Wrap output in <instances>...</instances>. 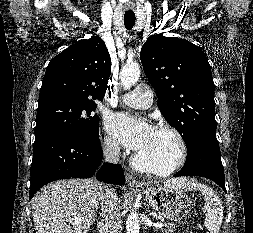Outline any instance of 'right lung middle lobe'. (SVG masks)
<instances>
[{
  "label": "right lung middle lobe",
  "mask_w": 253,
  "mask_h": 233,
  "mask_svg": "<svg viewBox=\"0 0 253 233\" xmlns=\"http://www.w3.org/2000/svg\"><path fill=\"white\" fill-rule=\"evenodd\" d=\"M92 100L52 98L38 104L35 136L63 132L84 140L99 137V116Z\"/></svg>",
  "instance_id": "right-lung-middle-lobe-1"
}]
</instances>
